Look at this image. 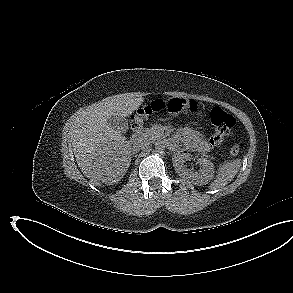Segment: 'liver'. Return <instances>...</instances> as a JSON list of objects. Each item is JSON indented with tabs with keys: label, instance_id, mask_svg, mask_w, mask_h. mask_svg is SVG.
<instances>
[{
	"label": "liver",
	"instance_id": "6515ba94",
	"mask_svg": "<svg viewBox=\"0 0 293 293\" xmlns=\"http://www.w3.org/2000/svg\"><path fill=\"white\" fill-rule=\"evenodd\" d=\"M143 101L131 93L115 95L74 116L70 137L75 158L82 173L96 184L119 181L131 162V142L108 125V118L128 117Z\"/></svg>",
	"mask_w": 293,
	"mask_h": 293
}]
</instances>
